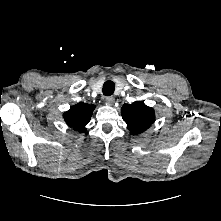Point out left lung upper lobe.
<instances>
[{"mask_svg": "<svg viewBox=\"0 0 221 221\" xmlns=\"http://www.w3.org/2000/svg\"><path fill=\"white\" fill-rule=\"evenodd\" d=\"M121 115L133 135L144 132L155 121L153 108L146 106L141 101L134 102L133 104H124Z\"/></svg>", "mask_w": 221, "mask_h": 221, "instance_id": "left-lung-upper-lobe-1", "label": "left lung upper lobe"}]
</instances>
